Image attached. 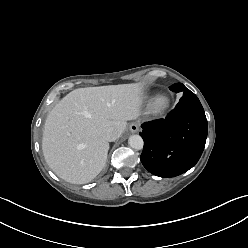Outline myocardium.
<instances>
[{
  "instance_id": "myocardium-1",
  "label": "myocardium",
  "mask_w": 248,
  "mask_h": 248,
  "mask_svg": "<svg viewBox=\"0 0 248 248\" xmlns=\"http://www.w3.org/2000/svg\"><path fill=\"white\" fill-rule=\"evenodd\" d=\"M169 97L159 93L152 97L149 102V111L151 114L157 115L164 112L169 106Z\"/></svg>"
}]
</instances>
